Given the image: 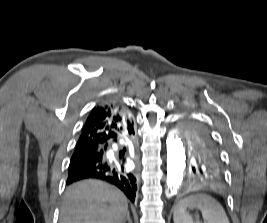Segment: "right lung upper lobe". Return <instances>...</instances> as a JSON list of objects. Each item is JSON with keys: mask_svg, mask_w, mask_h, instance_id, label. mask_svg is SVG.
<instances>
[{"mask_svg": "<svg viewBox=\"0 0 267 223\" xmlns=\"http://www.w3.org/2000/svg\"><path fill=\"white\" fill-rule=\"evenodd\" d=\"M133 125L131 112L126 106L115 101L95 106L82 128L76 149L97 150L125 138Z\"/></svg>", "mask_w": 267, "mask_h": 223, "instance_id": "right-lung-upper-lobe-1", "label": "right lung upper lobe"}]
</instances>
